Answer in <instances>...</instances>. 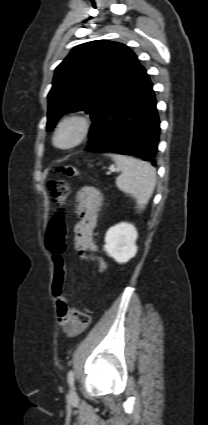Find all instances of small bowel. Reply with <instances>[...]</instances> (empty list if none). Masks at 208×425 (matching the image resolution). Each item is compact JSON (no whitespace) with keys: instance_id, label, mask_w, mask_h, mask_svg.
<instances>
[{"instance_id":"small-bowel-1","label":"small bowel","mask_w":208,"mask_h":425,"mask_svg":"<svg viewBox=\"0 0 208 425\" xmlns=\"http://www.w3.org/2000/svg\"><path fill=\"white\" fill-rule=\"evenodd\" d=\"M77 201L80 221L75 227V247L82 248L86 252H94L97 247L92 234L101 203V194L94 187H83L77 194ZM56 308L58 322L67 335L76 336L84 329L72 317L65 297L56 298Z\"/></svg>"}]
</instances>
